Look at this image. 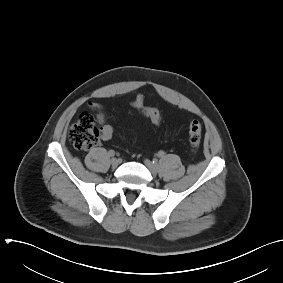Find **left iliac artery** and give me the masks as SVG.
<instances>
[{"instance_id":"44dca946","label":"left iliac artery","mask_w":283,"mask_h":283,"mask_svg":"<svg viewBox=\"0 0 283 283\" xmlns=\"http://www.w3.org/2000/svg\"><path fill=\"white\" fill-rule=\"evenodd\" d=\"M164 154H165V153H164L163 151H159V152H158V156H159V157H163Z\"/></svg>"}]
</instances>
